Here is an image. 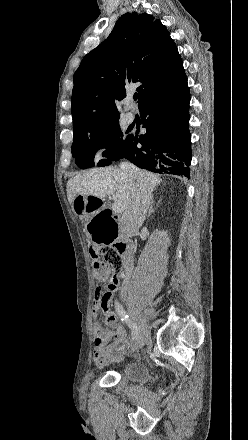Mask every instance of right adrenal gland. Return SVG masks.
Returning a JSON list of instances; mask_svg holds the SVG:
<instances>
[{"mask_svg": "<svg viewBox=\"0 0 248 440\" xmlns=\"http://www.w3.org/2000/svg\"><path fill=\"white\" fill-rule=\"evenodd\" d=\"M153 206H154V201H153V196H152L151 197V202H150V207H149V210H148L147 218L150 217V215L154 212Z\"/></svg>", "mask_w": 248, "mask_h": 440, "instance_id": "2a0ac1e0", "label": "right adrenal gland"}]
</instances>
